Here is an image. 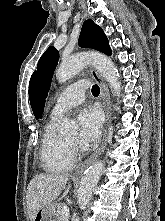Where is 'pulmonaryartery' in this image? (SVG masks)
<instances>
[{
	"label": "pulmonary artery",
	"instance_id": "pulmonary-artery-1",
	"mask_svg": "<svg viewBox=\"0 0 165 221\" xmlns=\"http://www.w3.org/2000/svg\"><path fill=\"white\" fill-rule=\"evenodd\" d=\"M88 87L86 80L77 81L65 88L56 98L51 110V118H58L71 108L81 104Z\"/></svg>",
	"mask_w": 165,
	"mask_h": 221
}]
</instances>
